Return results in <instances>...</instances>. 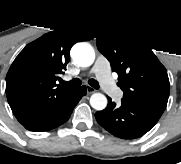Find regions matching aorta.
Returning <instances> with one entry per match:
<instances>
[{
  "label": "aorta",
  "mask_w": 181,
  "mask_h": 164,
  "mask_svg": "<svg viewBox=\"0 0 181 164\" xmlns=\"http://www.w3.org/2000/svg\"><path fill=\"white\" fill-rule=\"evenodd\" d=\"M73 61L81 67H89L95 60L94 49L87 44H77L72 48ZM90 105L95 110H103L107 106V98L101 93H94L90 97Z\"/></svg>",
  "instance_id": "762f6f07"
}]
</instances>
